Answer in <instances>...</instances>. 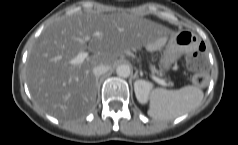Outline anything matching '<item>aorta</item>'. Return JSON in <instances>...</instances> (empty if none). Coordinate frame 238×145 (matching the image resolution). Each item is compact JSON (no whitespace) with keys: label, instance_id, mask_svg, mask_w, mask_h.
Here are the masks:
<instances>
[{"label":"aorta","instance_id":"obj_1","mask_svg":"<svg viewBox=\"0 0 238 145\" xmlns=\"http://www.w3.org/2000/svg\"><path fill=\"white\" fill-rule=\"evenodd\" d=\"M116 73L118 76L123 77V78L129 77V75H130L129 65H126V64L119 65L116 68Z\"/></svg>","mask_w":238,"mask_h":145}]
</instances>
